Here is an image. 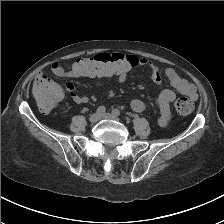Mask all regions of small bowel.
Here are the masks:
<instances>
[{
    "instance_id": "small-bowel-1",
    "label": "small bowel",
    "mask_w": 224,
    "mask_h": 224,
    "mask_svg": "<svg viewBox=\"0 0 224 224\" xmlns=\"http://www.w3.org/2000/svg\"><path fill=\"white\" fill-rule=\"evenodd\" d=\"M127 56L133 58L136 62V65H140L142 67H145L149 69L150 71V77L151 79L158 85L161 84V76L159 68L153 64L149 59L147 58H138L134 55H128ZM52 72L61 78H74L79 77L77 72L72 68L65 69L63 65L60 62H54L51 65ZM165 75L171 85V87L178 91L179 93L187 96L191 100L197 99V93L196 89L193 84H191L189 81L181 77L174 69L168 68L165 71ZM119 82H124L126 80V74H119L117 75ZM42 79H48L47 76L44 74L43 71L39 72L36 81L42 80ZM66 89L69 92L71 98L78 104H85L89 101V98L84 94H78L74 85L72 83L66 84ZM172 89H164L161 91V93L158 95L156 99V105L158 109V122L160 125L164 126L168 123L170 119V103L174 101L176 98V93ZM131 108L135 112H142L146 108V103L138 98H135L130 103Z\"/></svg>"
}]
</instances>
